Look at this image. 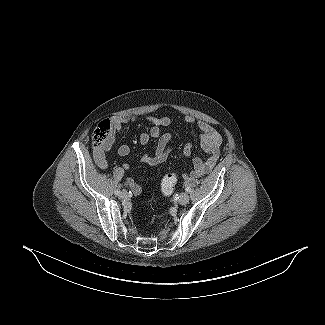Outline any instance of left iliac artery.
<instances>
[{
    "label": "left iliac artery",
    "mask_w": 325,
    "mask_h": 325,
    "mask_svg": "<svg viewBox=\"0 0 325 325\" xmlns=\"http://www.w3.org/2000/svg\"><path fill=\"white\" fill-rule=\"evenodd\" d=\"M187 192H190V189L187 187L186 189H185Z\"/></svg>",
    "instance_id": "obj_1"
}]
</instances>
